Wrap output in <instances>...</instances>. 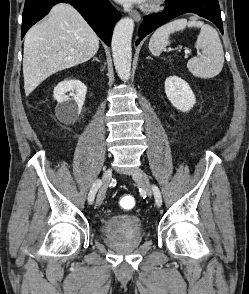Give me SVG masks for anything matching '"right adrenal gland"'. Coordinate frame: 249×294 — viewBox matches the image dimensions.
I'll list each match as a JSON object with an SVG mask.
<instances>
[{"mask_svg":"<svg viewBox=\"0 0 249 294\" xmlns=\"http://www.w3.org/2000/svg\"><path fill=\"white\" fill-rule=\"evenodd\" d=\"M92 61H97L100 62L99 59L97 57H94V59Z\"/></svg>","mask_w":249,"mask_h":294,"instance_id":"1","label":"right adrenal gland"}]
</instances>
